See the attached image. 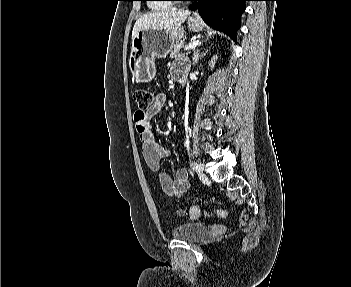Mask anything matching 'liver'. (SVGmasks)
Listing matches in <instances>:
<instances>
[{"label": "liver", "mask_w": 351, "mask_h": 287, "mask_svg": "<svg viewBox=\"0 0 351 287\" xmlns=\"http://www.w3.org/2000/svg\"><path fill=\"white\" fill-rule=\"evenodd\" d=\"M190 15L189 11H159L142 15L135 23L132 31V39L140 30L148 29H174Z\"/></svg>", "instance_id": "1"}]
</instances>
